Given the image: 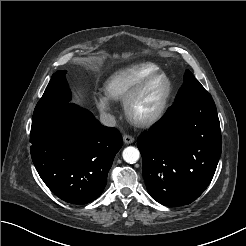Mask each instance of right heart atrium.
<instances>
[{
    "instance_id": "1",
    "label": "right heart atrium",
    "mask_w": 246,
    "mask_h": 246,
    "mask_svg": "<svg viewBox=\"0 0 246 246\" xmlns=\"http://www.w3.org/2000/svg\"><path fill=\"white\" fill-rule=\"evenodd\" d=\"M95 104L101 112L111 113L113 111L111 98L107 94H98L95 98Z\"/></svg>"
}]
</instances>
